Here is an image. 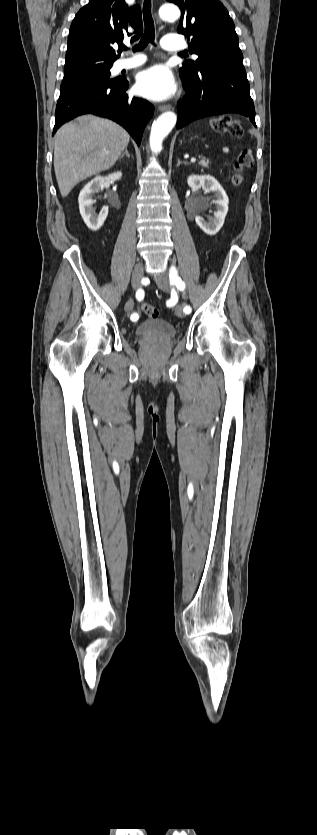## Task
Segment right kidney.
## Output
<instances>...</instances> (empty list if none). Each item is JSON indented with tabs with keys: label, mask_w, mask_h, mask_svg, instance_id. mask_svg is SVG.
I'll use <instances>...</instances> for the list:
<instances>
[{
	"label": "right kidney",
	"mask_w": 317,
	"mask_h": 835,
	"mask_svg": "<svg viewBox=\"0 0 317 835\" xmlns=\"http://www.w3.org/2000/svg\"><path fill=\"white\" fill-rule=\"evenodd\" d=\"M121 177V172H114L105 177L97 176L90 182H88L81 190L78 197L80 214L87 227L92 231H97L103 225L108 215L107 206L103 207L102 211L99 214H96L93 211L92 205L95 202L93 200L94 193L98 191L100 187H103L106 183L120 180Z\"/></svg>",
	"instance_id": "obj_1"
}]
</instances>
